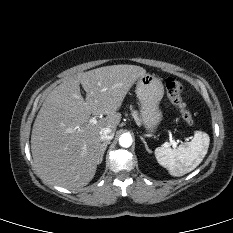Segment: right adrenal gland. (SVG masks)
I'll use <instances>...</instances> for the list:
<instances>
[{"mask_svg": "<svg viewBox=\"0 0 233 233\" xmlns=\"http://www.w3.org/2000/svg\"><path fill=\"white\" fill-rule=\"evenodd\" d=\"M109 144H110V141H106V142H104V143L102 144V146H101V152H100V157H99V163L102 162L104 153H105V151H106V149H107V146H108Z\"/></svg>", "mask_w": 233, "mask_h": 233, "instance_id": "2a0ac1e0", "label": "right adrenal gland"}]
</instances>
